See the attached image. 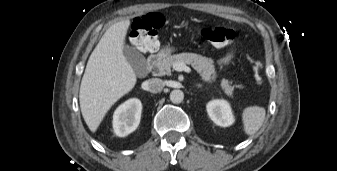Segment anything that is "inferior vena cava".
<instances>
[{
  "label": "inferior vena cava",
  "instance_id": "602c4592",
  "mask_svg": "<svg viewBox=\"0 0 337 171\" xmlns=\"http://www.w3.org/2000/svg\"><path fill=\"white\" fill-rule=\"evenodd\" d=\"M163 87L164 82L159 78H152L147 81V89L152 93H158L162 91Z\"/></svg>",
  "mask_w": 337,
  "mask_h": 171
}]
</instances>
